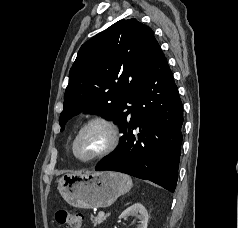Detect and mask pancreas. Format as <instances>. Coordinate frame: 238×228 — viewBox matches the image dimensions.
<instances>
[{
  "instance_id": "pancreas-1",
  "label": "pancreas",
  "mask_w": 238,
  "mask_h": 228,
  "mask_svg": "<svg viewBox=\"0 0 238 228\" xmlns=\"http://www.w3.org/2000/svg\"><path fill=\"white\" fill-rule=\"evenodd\" d=\"M108 215H104V216H92L91 217V221L92 223L96 226L99 225L101 223H103L106 219H107Z\"/></svg>"
}]
</instances>
